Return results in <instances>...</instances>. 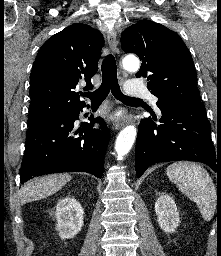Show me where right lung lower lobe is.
<instances>
[{
  "mask_svg": "<svg viewBox=\"0 0 221 256\" xmlns=\"http://www.w3.org/2000/svg\"><path fill=\"white\" fill-rule=\"evenodd\" d=\"M83 107L28 127L20 169L21 183L34 176L59 172L83 171L102 177L110 132L104 120L97 118L90 121L91 124L100 123L99 129L82 123L83 130L74 133V122L79 119Z\"/></svg>",
  "mask_w": 221,
  "mask_h": 256,
  "instance_id": "right-lung-lower-lobe-1",
  "label": "right lung lower lobe"
}]
</instances>
